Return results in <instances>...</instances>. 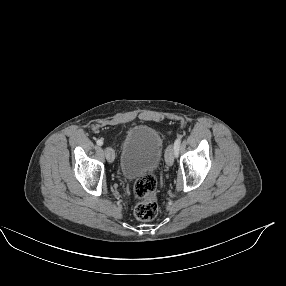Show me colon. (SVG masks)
I'll return each instance as SVG.
<instances>
[{
  "mask_svg": "<svg viewBox=\"0 0 286 286\" xmlns=\"http://www.w3.org/2000/svg\"><path fill=\"white\" fill-rule=\"evenodd\" d=\"M155 189L156 178L151 174L145 175L135 182L134 192L140 199L134 207L137 219L148 221L156 217L159 207L154 196Z\"/></svg>",
  "mask_w": 286,
  "mask_h": 286,
  "instance_id": "obj_1",
  "label": "colon"
}]
</instances>
